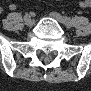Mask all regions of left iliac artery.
I'll use <instances>...</instances> for the list:
<instances>
[{
  "mask_svg": "<svg viewBox=\"0 0 91 91\" xmlns=\"http://www.w3.org/2000/svg\"><path fill=\"white\" fill-rule=\"evenodd\" d=\"M64 19H65V22H66L67 25L71 24V20H70L69 17H64Z\"/></svg>",
  "mask_w": 91,
  "mask_h": 91,
  "instance_id": "1",
  "label": "left iliac artery"
}]
</instances>
